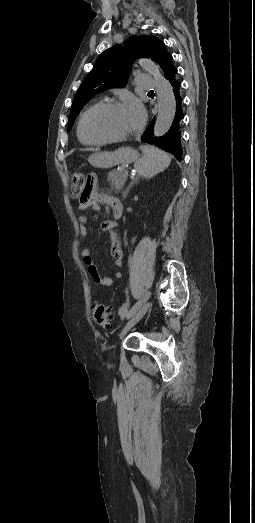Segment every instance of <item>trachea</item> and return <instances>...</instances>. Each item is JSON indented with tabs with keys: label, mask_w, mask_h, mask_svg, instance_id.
<instances>
[{
	"label": "trachea",
	"mask_w": 255,
	"mask_h": 523,
	"mask_svg": "<svg viewBox=\"0 0 255 523\" xmlns=\"http://www.w3.org/2000/svg\"><path fill=\"white\" fill-rule=\"evenodd\" d=\"M148 93H154V91H153V90H150V92H148Z\"/></svg>",
	"instance_id": "trachea-1"
}]
</instances>
